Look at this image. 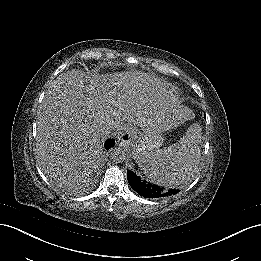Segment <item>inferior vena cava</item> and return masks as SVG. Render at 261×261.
<instances>
[{
	"mask_svg": "<svg viewBox=\"0 0 261 261\" xmlns=\"http://www.w3.org/2000/svg\"><path fill=\"white\" fill-rule=\"evenodd\" d=\"M115 126H107L106 129H105V133L106 135H110L114 130H115Z\"/></svg>",
	"mask_w": 261,
	"mask_h": 261,
	"instance_id": "inferior-vena-cava-1",
	"label": "inferior vena cava"
}]
</instances>
